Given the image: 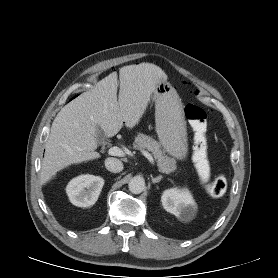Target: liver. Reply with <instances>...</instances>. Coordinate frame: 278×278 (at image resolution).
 I'll list each match as a JSON object with an SVG mask.
<instances>
[{"instance_id":"liver-1","label":"liver","mask_w":278,"mask_h":278,"mask_svg":"<svg viewBox=\"0 0 278 278\" xmlns=\"http://www.w3.org/2000/svg\"><path fill=\"white\" fill-rule=\"evenodd\" d=\"M117 77L116 72L109 74L57 114L46 142L40 172L42 184L72 164L100 158L95 152L97 129H102L106 137H113L123 125L133 128L144 115L159 81L167 80L154 64L124 66L119 71L117 101Z\"/></svg>"}]
</instances>
